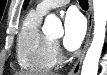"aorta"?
<instances>
[{
	"mask_svg": "<svg viewBox=\"0 0 107 75\" xmlns=\"http://www.w3.org/2000/svg\"><path fill=\"white\" fill-rule=\"evenodd\" d=\"M94 36L83 61L81 75H97L98 64L105 41L107 24V0H93ZM44 31L53 35L62 34L63 28L58 18L50 14L46 17Z\"/></svg>",
	"mask_w": 107,
	"mask_h": 75,
	"instance_id": "obj_1",
	"label": "aorta"
}]
</instances>
